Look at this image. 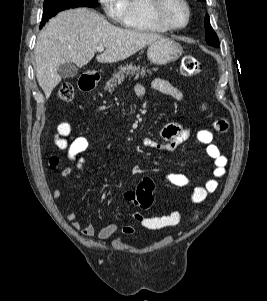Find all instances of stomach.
<instances>
[{
    "label": "stomach",
    "mask_w": 267,
    "mask_h": 301,
    "mask_svg": "<svg viewBox=\"0 0 267 301\" xmlns=\"http://www.w3.org/2000/svg\"><path fill=\"white\" fill-rule=\"evenodd\" d=\"M183 53L182 46L167 38H160L148 46L147 56L156 65H165L176 61Z\"/></svg>",
    "instance_id": "0dacf381"
}]
</instances>
